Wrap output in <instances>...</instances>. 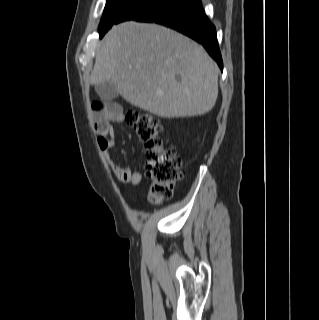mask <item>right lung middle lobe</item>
Segmentation results:
<instances>
[{
	"label": "right lung middle lobe",
	"instance_id": "obj_1",
	"mask_svg": "<svg viewBox=\"0 0 319 320\" xmlns=\"http://www.w3.org/2000/svg\"><path fill=\"white\" fill-rule=\"evenodd\" d=\"M176 0H107L99 26L100 36L114 24L170 5Z\"/></svg>",
	"mask_w": 319,
	"mask_h": 320
}]
</instances>
